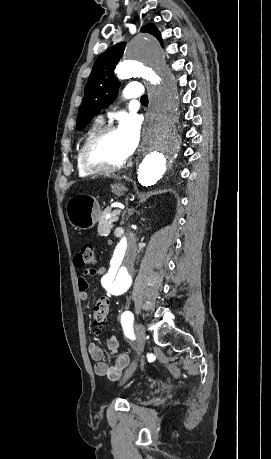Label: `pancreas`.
<instances>
[{"label":"pancreas","mask_w":271,"mask_h":459,"mask_svg":"<svg viewBox=\"0 0 271 459\" xmlns=\"http://www.w3.org/2000/svg\"><path fill=\"white\" fill-rule=\"evenodd\" d=\"M108 212H110V210H108ZM117 214H120V210H114L111 214V218H108V220H106V214L101 216L98 224V233H100V235H108V233H110L111 228H113L112 220H114Z\"/></svg>","instance_id":"pancreas-1"}]
</instances>
